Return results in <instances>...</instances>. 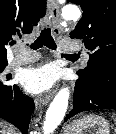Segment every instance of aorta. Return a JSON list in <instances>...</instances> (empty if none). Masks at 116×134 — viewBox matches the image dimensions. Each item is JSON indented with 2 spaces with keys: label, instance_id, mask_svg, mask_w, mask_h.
Instances as JSON below:
<instances>
[{
  "label": "aorta",
  "instance_id": "762f6f07",
  "mask_svg": "<svg viewBox=\"0 0 116 134\" xmlns=\"http://www.w3.org/2000/svg\"><path fill=\"white\" fill-rule=\"evenodd\" d=\"M62 15L65 20L76 21L80 18L81 12L75 5H67L63 8ZM69 90L61 89L50 104L43 124L44 134H51L63 120L68 107Z\"/></svg>",
  "mask_w": 116,
  "mask_h": 134
}]
</instances>
